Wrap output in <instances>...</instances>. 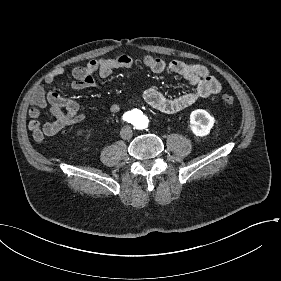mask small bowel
Instances as JSON below:
<instances>
[{
  "instance_id": "1",
  "label": "small bowel",
  "mask_w": 281,
  "mask_h": 281,
  "mask_svg": "<svg viewBox=\"0 0 281 281\" xmlns=\"http://www.w3.org/2000/svg\"><path fill=\"white\" fill-rule=\"evenodd\" d=\"M142 63L154 73L168 72L179 75L187 81L189 90L177 97H167L154 87H149L143 92L144 101L163 114H179L196 102L215 95L221 90L220 81L212 76L204 65L181 60L166 61L151 55L144 56ZM134 64V59L129 55L91 60L85 65L73 68L74 80L71 86L75 90L96 87L94 75L107 78L114 70L130 69ZM62 73V68L55 69L46 78V84H51ZM47 105L50 107L54 120L41 124L39 122L40 110ZM120 110L118 103H112L108 107L111 114H117ZM29 117L28 127L33 133V139L37 142H41L39 140L44 136H55L63 129L76 125L84 119V115L79 110V104L75 100L61 96L54 90L45 91L42 87H39L33 96Z\"/></svg>"
}]
</instances>
